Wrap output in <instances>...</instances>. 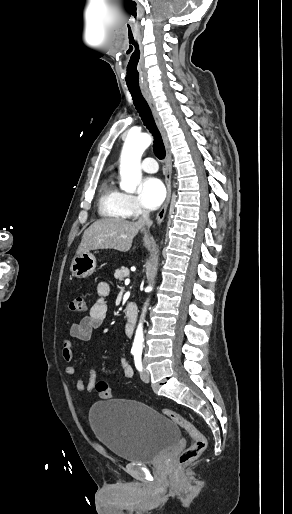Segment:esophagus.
Returning <instances> with one entry per match:
<instances>
[{"instance_id": "obj_1", "label": "esophagus", "mask_w": 292, "mask_h": 514, "mask_svg": "<svg viewBox=\"0 0 292 514\" xmlns=\"http://www.w3.org/2000/svg\"><path fill=\"white\" fill-rule=\"evenodd\" d=\"M141 92H142L143 97L146 99V102L148 103L150 109H151V112L153 114V118H154V120L156 122V125H157V127L159 128V130L161 132L162 139H163V142H164V145H165V149H166L165 183H166V188H167V197H166V200H165L164 204L162 205L161 209L159 210V212H158V214L156 216L157 224H160L161 222H163V219H164L165 214H166L167 207H168V205L170 203V197H171L172 157H171V151H170V143H169L167 134L165 132V129H164L162 120L160 118V115H159V113L157 111V107H156L155 102L153 100V97L151 95V92L149 90H143V89H141Z\"/></svg>"}]
</instances>
